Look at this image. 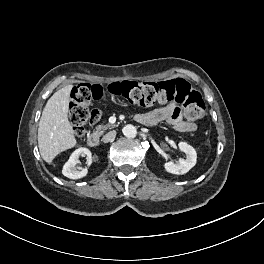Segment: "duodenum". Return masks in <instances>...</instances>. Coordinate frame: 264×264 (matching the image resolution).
Wrapping results in <instances>:
<instances>
[{
    "mask_svg": "<svg viewBox=\"0 0 264 264\" xmlns=\"http://www.w3.org/2000/svg\"><path fill=\"white\" fill-rule=\"evenodd\" d=\"M100 143V135L98 133H91L87 137V144L91 147H96Z\"/></svg>",
    "mask_w": 264,
    "mask_h": 264,
    "instance_id": "obj_1",
    "label": "duodenum"
}]
</instances>
